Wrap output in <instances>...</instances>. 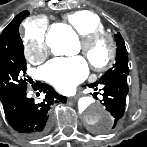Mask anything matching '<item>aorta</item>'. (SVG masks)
<instances>
[{"instance_id":"aorta-1","label":"aorta","mask_w":147,"mask_h":147,"mask_svg":"<svg viewBox=\"0 0 147 147\" xmlns=\"http://www.w3.org/2000/svg\"><path fill=\"white\" fill-rule=\"evenodd\" d=\"M46 42L55 55L71 56L78 51L77 37L68 28H64L58 33L49 32ZM78 108L86 124L95 129L107 128L112 123V115L101 104L90 98L80 99Z\"/></svg>"}]
</instances>
